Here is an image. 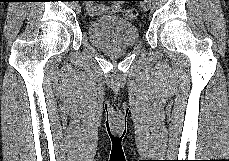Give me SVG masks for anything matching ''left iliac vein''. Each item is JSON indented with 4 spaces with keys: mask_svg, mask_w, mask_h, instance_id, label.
<instances>
[{
    "mask_svg": "<svg viewBox=\"0 0 229 161\" xmlns=\"http://www.w3.org/2000/svg\"><path fill=\"white\" fill-rule=\"evenodd\" d=\"M150 2H151V0H144V1L142 2V7H143L144 10H148V9H149V7H150Z\"/></svg>",
    "mask_w": 229,
    "mask_h": 161,
    "instance_id": "1",
    "label": "left iliac vein"
}]
</instances>
